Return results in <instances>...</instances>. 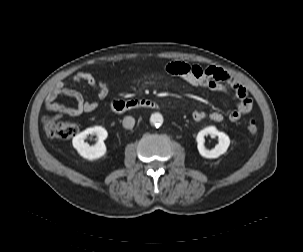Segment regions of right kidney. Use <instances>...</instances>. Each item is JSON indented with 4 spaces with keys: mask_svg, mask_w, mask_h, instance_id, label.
I'll return each instance as SVG.
<instances>
[{
    "mask_svg": "<svg viewBox=\"0 0 303 252\" xmlns=\"http://www.w3.org/2000/svg\"><path fill=\"white\" fill-rule=\"evenodd\" d=\"M89 134L97 135L98 142L94 146H90L88 143L84 142V139ZM107 136L108 133L105 128L101 126H94L87 128L86 130L76 135L72 140V144L83 158L94 160L105 155L107 148L104 140L107 138Z\"/></svg>",
    "mask_w": 303,
    "mask_h": 252,
    "instance_id": "ca27d5eb",
    "label": "right kidney"
}]
</instances>
